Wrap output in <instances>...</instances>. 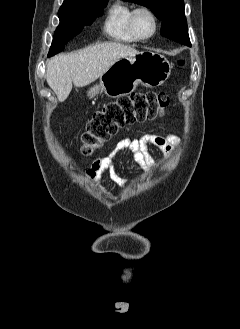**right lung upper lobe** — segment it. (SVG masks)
<instances>
[{
	"label": "right lung upper lobe",
	"mask_w": 240,
	"mask_h": 329,
	"mask_svg": "<svg viewBox=\"0 0 240 329\" xmlns=\"http://www.w3.org/2000/svg\"><path fill=\"white\" fill-rule=\"evenodd\" d=\"M96 0H64L63 5H72V4H81V3H90Z\"/></svg>",
	"instance_id": "right-lung-upper-lobe-1"
}]
</instances>
